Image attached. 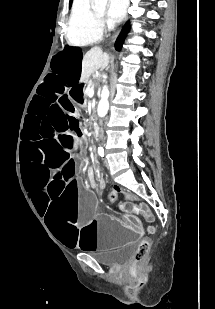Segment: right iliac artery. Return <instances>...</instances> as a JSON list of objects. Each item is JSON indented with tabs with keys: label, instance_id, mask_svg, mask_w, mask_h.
Instances as JSON below:
<instances>
[{
	"label": "right iliac artery",
	"instance_id": "obj_1",
	"mask_svg": "<svg viewBox=\"0 0 215 309\" xmlns=\"http://www.w3.org/2000/svg\"><path fill=\"white\" fill-rule=\"evenodd\" d=\"M98 153H99V155H100L101 157L104 156V150H103V149H99Z\"/></svg>",
	"mask_w": 215,
	"mask_h": 309
}]
</instances>
